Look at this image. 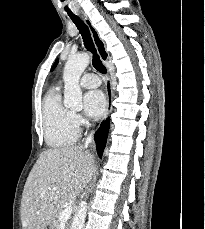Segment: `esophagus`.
Returning <instances> with one entry per match:
<instances>
[{
  "instance_id": "1",
  "label": "esophagus",
  "mask_w": 205,
  "mask_h": 229,
  "mask_svg": "<svg viewBox=\"0 0 205 229\" xmlns=\"http://www.w3.org/2000/svg\"><path fill=\"white\" fill-rule=\"evenodd\" d=\"M84 21L88 26L98 54L102 60V62L107 65L109 60V53L106 50V45L104 41L101 39L99 33L97 32L96 28L92 24L91 20L88 17H84ZM106 93H107V108L105 113V119L109 116L110 112L112 111V99H113V91H112V82L110 75L107 76L106 82Z\"/></svg>"
}]
</instances>
